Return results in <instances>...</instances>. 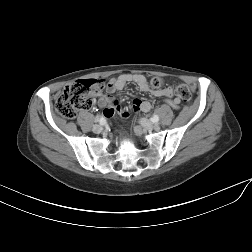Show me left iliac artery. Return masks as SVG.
<instances>
[{"label": "left iliac artery", "instance_id": "1", "mask_svg": "<svg viewBox=\"0 0 252 252\" xmlns=\"http://www.w3.org/2000/svg\"><path fill=\"white\" fill-rule=\"evenodd\" d=\"M152 121H153L154 123H157V122L159 121L158 115H154V116L152 117Z\"/></svg>", "mask_w": 252, "mask_h": 252}]
</instances>
